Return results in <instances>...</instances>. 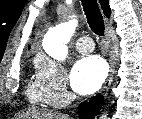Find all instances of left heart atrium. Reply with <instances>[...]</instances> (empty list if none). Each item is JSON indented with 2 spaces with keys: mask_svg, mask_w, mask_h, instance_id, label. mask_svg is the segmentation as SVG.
I'll return each mask as SVG.
<instances>
[{
  "mask_svg": "<svg viewBox=\"0 0 142 119\" xmlns=\"http://www.w3.org/2000/svg\"><path fill=\"white\" fill-rule=\"evenodd\" d=\"M106 77V65L97 56L80 59L72 69L70 82L80 94H91L102 85Z\"/></svg>",
  "mask_w": 142,
  "mask_h": 119,
  "instance_id": "39dd6f15",
  "label": "left heart atrium"
}]
</instances>
